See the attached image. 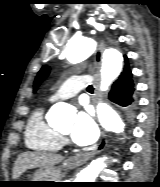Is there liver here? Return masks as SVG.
I'll return each instance as SVG.
<instances>
[{"label":"liver","mask_w":160,"mask_h":187,"mask_svg":"<svg viewBox=\"0 0 160 187\" xmlns=\"http://www.w3.org/2000/svg\"><path fill=\"white\" fill-rule=\"evenodd\" d=\"M63 159V156L57 154L24 152L14 163L13 179L19 178L28 169L54 167Z\"/></svg>","instance_id":"1"}]
</instances>
